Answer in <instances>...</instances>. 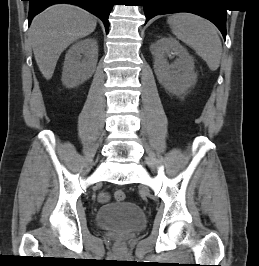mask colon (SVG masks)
Listing matches in <instances>:
<instances>
[{
  "instance_id": "5ec220e1",
  "label": "colon",
  "mask_w": 259,
  "mask_h": 266,
  "mask_svg": "<svg viewBox=\"0 0 259 266\" xmlns=\"http://www.w3.org/2000/svg\"><path fill=\"white\" fill-rule=\"evenodd\" d=\"M114 197H115V200L118 201V202H122L125 200L126 198V193L123 191V190H117L115 193H114Z\"/></svg>"
}]
</instances>
